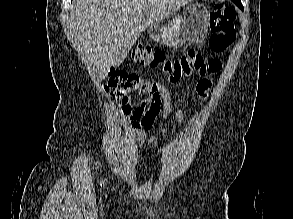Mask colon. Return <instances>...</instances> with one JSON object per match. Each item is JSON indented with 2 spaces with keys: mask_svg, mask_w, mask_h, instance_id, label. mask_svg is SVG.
Returning <instances> with one entry per match:
<instances>
[{
  "mask_svg": "<svg viewBox=\"0 0 293 219\" xmlns=\"http://www.w3.org/2000/svg\"><path fill=\"white\" fill-rule=\"evenodd\" d=\"M235 11L226 5L217 4L210 11V48L215 53H223L235 41L234 30ZM132 59L136 63L161 69L172 84L199 75L202 79L198 82L199 89H204L210 82L208 76H215L221 69V63L215 58L206 59L204 55L191 49L178 58L168 57L162 50L149 45H139L132 52ZM142 82L133 73L121 69H111L108 73L104 89L110 99L125 105L129 98L140 91Z\"/></svg>",
  "mask_w": 293,
  "mask_h": 219,
  "instance_id": "5ec220e1",
  "label": "colon"
}]
</instances>
